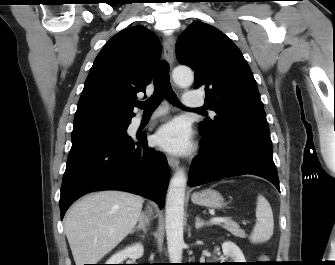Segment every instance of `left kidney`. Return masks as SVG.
<instances>
[{"instance_id":"1","label":"left kidney","mask_w":335,"mask_h":265,"mask_svg":"<svg viewBox=\"0 0 335 265\" xmlns=\"http://www.w3.org/2000/svg\"><path fill=\"white\" fill-rule=\"evenodd\" d=\"M223 254L230 257L232 262H245V257L240 248L233 242L227 241L222 244Z\"/></svg>"}]
</instances>
